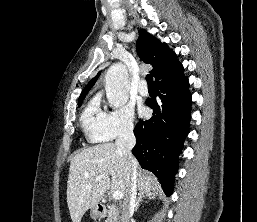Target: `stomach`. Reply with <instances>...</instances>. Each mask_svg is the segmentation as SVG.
Here are the masks:
<instances>
[{
    "label": "stomach",
    "instance_id": "stomach-1",
    "mask_svg": "<svg viewBox=\"0 0 257 222\" xmlns=\"http://www.w3.org/2000/svg\"><path fill=\"white\" fill-rule=\"evenodd\" d=\"M90 216L94 220H96V219H98L100 217V214H99L98 210L96 209V207H92L91 208Z\"/></svg>",
    "mask_w": 257,
    "mask_h": 222
}]
</instances>
